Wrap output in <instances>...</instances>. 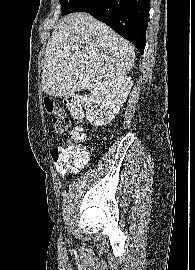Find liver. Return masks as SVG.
<instances>
[{
  "instance_id": "1",
  "label": "liver",
  "mask_w": 195,
  "mask_h": 270,
  "mask_svg": "<svg viewBox=\"0 0 195 270\" xmlns=\"http://www.w3.org/2000/svg\"><path fill=\"white\" fill-rule=\"evenodd\" d=\"M134 47L87 13L63 17L48 41L42 91L54 97L91 90L125 76L133 67Z\"/></svg>"
}]
</instances>
